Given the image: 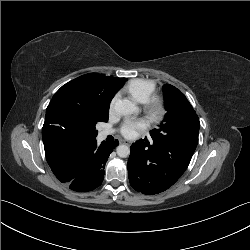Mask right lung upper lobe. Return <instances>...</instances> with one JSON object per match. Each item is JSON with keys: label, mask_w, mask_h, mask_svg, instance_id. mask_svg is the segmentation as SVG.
Returning <instances> with one entry per match:
<instances>
[{"label": "right lung upper lobe", "mask_w": 250, "mask_h": 250, "mask_svg": "<svg viewBox=\"0 0 250 250\" xmlns=\"http://www.w3.org/2000/svg\"><path fill=\"white\" fill-rule=\"evenodd\" d=\"M80 77L86 78L96 84L101 89L103 94L108 96L110 99L113 98L115 93L123 86L126 81V78L108 77L96 73L85 74ZM42 138L48 164L55 162L58 157L69 147V145L76 142L56 137L51 131L49 117L47 114L42 129Z\"/></svg>", "instance_id": "1"}]
</instances>
